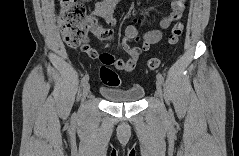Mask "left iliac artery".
Returning a JSON list of instances; mask_svg holds the SVG:
<instances>
[{
    "label": "left iliac artery",
    "mask_w": 239,
    "mask_h": 156,
    "mask_svg": "<svg viewBox=\"0 0 239 156\" xmlns=\"http://www.w3.org/2000/svg\"><path fill=\"white\" fill-rule=\"evenodd\" d=\"M156 78H157V80H158L161 84L164 83V77L162 76V74L158 73V74L156 75Z\"/></svg>",
    "instance_id": "obj_1"
}]
</instances>
